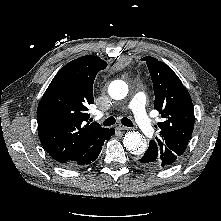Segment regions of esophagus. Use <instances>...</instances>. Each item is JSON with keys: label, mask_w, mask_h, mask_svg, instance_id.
I'll use <instances>...</instances> for the list:
<instances>
[{"label": "esophagus", "mask_w": 221, "mask_h": 221, "mask_svg": "<svg viewBox=\"0 0 221 221\" xmlns=\"http://www.w3.org/2000/svg\"><path fill=\"white\" fill-rule=\"evenodd\" d=\"M116 129H117V130H120V131H125V130H128L129 128L126 127V126H123V125H121V124H117V125H116Z\"/></svg>", "instance_id": "esophagus-1"}]
</instances>
